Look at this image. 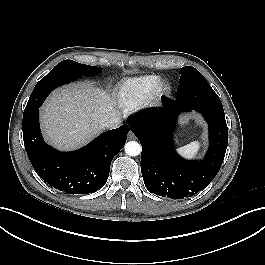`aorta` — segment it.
<instances>
[{"label": "aorta", "instance_id": "aorta-1", "mask_svg": "<svg viewBox=\"0 0 265 265\" xmlns=\"http://www.w3.org/2000/svg\"><path fill=\"white\" fill-rule=\"evenodd\" d=\"M124 149L129 156H138L141 153V145L136 141L127 142Z\"/></svg>", "mask_w": 265, "mask_h": 265}]
</instances>
